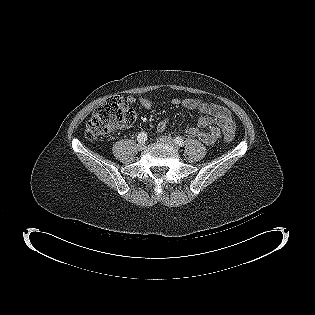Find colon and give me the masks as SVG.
<instances>
[{
	"label": "colon",
	"instance_id": "5ec220e1",
	"mask_svg": "<svg viewBox=\"0 0 315 315\" xmlns=\"http://www.w3.org/2000/svg\"><path fill=\"white\" fill-rule=\"evenodd\" d=\"M135 120V113L129 107L128 98L123 95H114L102 102L93 112L85 129V137L95 140L115 129L131 125ZM226 141L233 136L224 134Z\"/></svg>",
	"mask_w": 315,
	"mask_h": 315
}]
</instances>
